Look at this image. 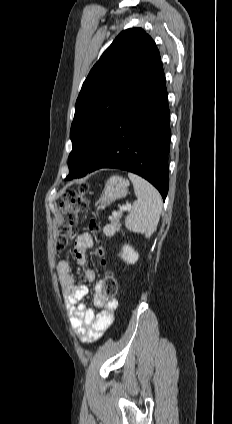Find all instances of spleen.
Wrapping results in <instances>:
<instances>
[{"mask_svg": "<svg viewBox=\"0 0 232 424\" xmlns=\"http://www.w3.org/2000/svg\"><path fill=\"white\" fill-rule=\"evenodd\" d=\"M137 201L125 219V226L135 233L150 238L157 228L162 211V198L157 189L142 177L128 173Z\"/></svg>", "mask_w": 232, "mask_h": 424, "instance_id": "obj_1", "label": "spleen"}]
</instances>
